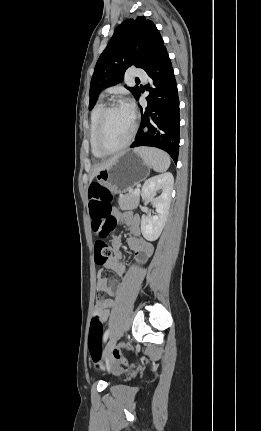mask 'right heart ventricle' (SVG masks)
Wrapping results in <instances>:
<instances>
[{
	"label": "right heart ventricle",
	"mask_w": 261,
	"mask_h": 431,
	"mask_svg": "<svg viewBox=\"0 0 261 431\" xmlns=\"http://www.w3.org/2000/svg\"><path fill=\"white\" fill-rule=\"evenodd\" d=\"M103 108H104L103 102L99 101L93 108L91 113V119H90L89 143H90L91 152L93 156L96 158L105 157V155H103L98 151L96 147V142H95L96 128H97L100 113Z\"/></svg>",
	"instance_id": "1"
}]
</instances>
